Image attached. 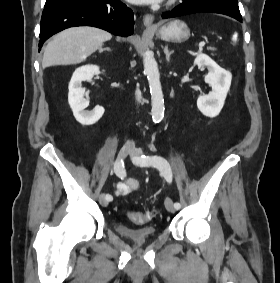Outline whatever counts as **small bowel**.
Returning a JSON list of instances; mask_svg holds the SVG:
<instances>
[{
    "label": "small bowel",
    "instance_id": "small-bowel-1",
    "mask_svg": "<svg viewBox=\"0 0 280 283\" xmlns=\"http://www.w3.org/2000/svg\"><path fill=\"white\" fill-rule=\"evenodd\" d=\"M140 188V183L132 178L129 177L123 181H120L116 186V194L119 196H126Z\"/></svg>",
    "mask_w": 280,
    "mask_h": 283
}]
</instances>
